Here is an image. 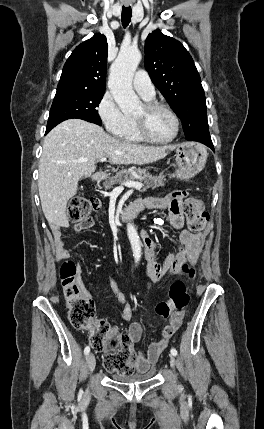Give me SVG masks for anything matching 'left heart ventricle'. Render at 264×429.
<instances>
[{"mask_svg": "<svg viewBox=\"0 0 264 429\" xmlns=\"http://www.w3.org/2000/svg\"><path fill=\"white\" fill-rule=\"evenodd\" d=\"M136 118H144L149 134L157 140L170 138L175 130L172 117L165 111L157 110L146 113L142 106L134 115Z\"/></svg>", "mask_w": 264, "mask_h": 429, "instance_id": "obj_1", "label": "left heart ventricle"}]
</instances>
